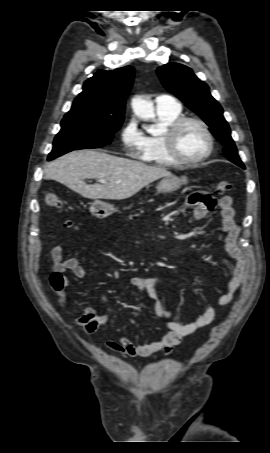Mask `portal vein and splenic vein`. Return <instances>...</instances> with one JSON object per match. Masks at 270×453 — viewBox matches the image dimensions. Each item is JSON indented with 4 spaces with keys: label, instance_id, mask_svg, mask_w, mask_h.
<instances>
[{
    "label": "portal vein and splenic vein",
    "instance_id": "obj_1",
    "mask_svg": "<svg viewBox=\"0 0 270 453\" xmlns=\"http://www.w3.org/2000/svg\"><path fill=\"white\" fill-rule=\"evenodd\" d=\"M99 182H100V183H106V181L103 180V179H100Z\"/></svg>",
    "mask_w": 270,
    "mask_h": 453
}]
</instances>
